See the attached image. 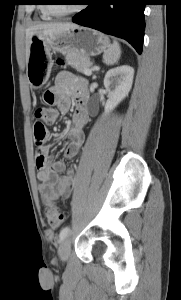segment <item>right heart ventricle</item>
Masks as SVG:
<instances>
[{
    "instance_id": "obj_1",
    "label": "right heart ventricle",
    "mask_w": 181,
    "mask_h": 300,
    "mask_svg": "<svg viewBox=\"0 0 181 300\" xmlns=\"http://www.w3.org/2000/svg\"><path fill=\"white\" fill-rule=\"evenodd\" d=\"M40 17L44 21H50L52 19V16L47 12L45 6H41L39 8Z\"/></svg>"
}]
</instances>
